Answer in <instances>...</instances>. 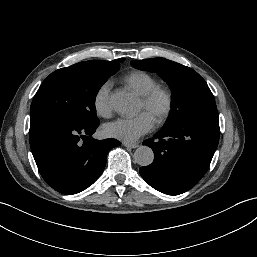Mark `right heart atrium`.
Wrapping results in <instances>:
<instances>
[{"label": "right heart atrium", "instance_id": "1", "mask_svg": "<svg viewBox=\"0 0 257 257\" xmlns=\"http://www.w3.org/2000/svg\"><path fill=\"white\" fill-rule=\"evenodd\" d=\"M112 83L110 80L105 81L100 87L97 89L94 99L93 105L95 111L98 115L106 117L110 115L112 111L110 94H111Z\"/></svg>", "mask_w": 257, "mask_h": 257}]
</instances>
